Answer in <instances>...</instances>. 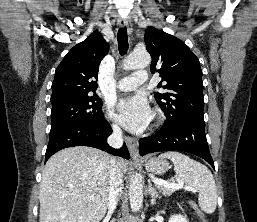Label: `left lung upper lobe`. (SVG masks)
<instances>
[{
  "mask_svg": "<svg viewBox=\"0 0 257 222\" xmlns=\"http://www.w3.org/2000/svg\"><path fill=\"white\" fill-rule=\"evenodd\" d=\"M145 43L152 57L151 72L160 73L164 85L154 97L163 110L167 122L186 118L204 119L202 71L198 58L180 39L149 27L145 31Z\"/></svg>",
  "mask_w": 257,
  "mask_h": 222,
  "instance_id": "5c2ea615",
  "label": "left lung upper lobe"
}]
</instances>
